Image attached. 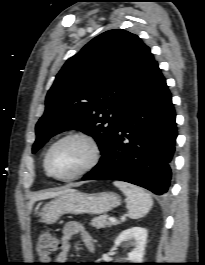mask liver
Returning a JSON list of instances; mask_svg holds the SVG:
<instances>
[{
    "instance_id": "obj_1",
    "label": "liver",
    "mask_w": 205,
    "mask_h": 265,
    "mask_svg": "<svg viewBox=\"0 0 205 265\" xmlns=\"http://www.w3.org/2000/svg\"><path fill=\"white\" fill-rule=\"evenodd\" d=\"M72 191H76L74 189H70V188H65L63 190H58V191H51V192H41L36 194L35 196H33L30 200L29 206L30 208H32L33 204L36 201L39 200H45V199H49V198H54V197H58L62 194L68 193V192H72Z\"/></svg>"
}]
</instances>
